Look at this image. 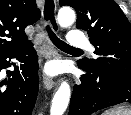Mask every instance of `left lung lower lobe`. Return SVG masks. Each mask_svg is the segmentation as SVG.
<instances>
[{"instance_id":"0a47b994","label":"left lung lower lobe","mask_w":131,"mask_h":115,"mask_svg":"<svg viewBox=\"0 0 131 115\" xmlns=\"http://www.w3.org/2000/svg\"><path fill=\"white\" fill-rule=\"evenodd\" d=\"M81 84L73 87L69 115H91L119 103H131V78L86 69Z\"/></svg>"}]
</instances>
